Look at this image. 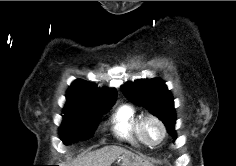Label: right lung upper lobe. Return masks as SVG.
<instances>
[{"mask_svg":"<svg viewBox=\"0 0 236 166\" xmlns=\"http://www.w3.org/2000/svg\"><path fill=\"white\" fill-rule=\"evenodd\" d=\"M116 95L115 88H97L90 82L77 79L69 87L66 99L67 105L98 109L112 106Z\"/></svg>","mask_w":236,"mask_h":166,"instance_id":"cb5924a9","label":"right lung upper lobe"}]
</instances>
